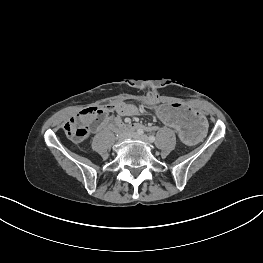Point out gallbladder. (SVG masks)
Segmentation results:
<instances>
[{"label": "gallbladder", "instance_id": "bac80fb5", "mask_svg": "<svg viewBox=\"0 0 263 263\" xmlns=\"http://www.w3.org/2000/svg\"><path fill=\"white\" fill-rule=\"evenodd\" d=\"M90 118V115H88L87 117H86V119H89Z\"/></svg>", "mask_w": 263, "mask_h": 263}]
</instances>
